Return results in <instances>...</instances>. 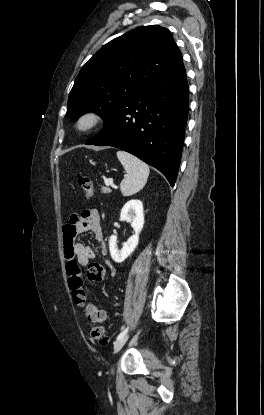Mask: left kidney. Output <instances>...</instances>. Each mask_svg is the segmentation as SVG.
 Returning a JSON list of instances; mask_svg holds the SVG:
<instances>
[{"instance_id": "obj_1", "label": "left kidney", "mask_w": 264, "mask_h": 415, "mask_svg": "<svg viewBox=\"0 0 264 415\" xmlns=\"http://www.w3.org/2000/svg\"><path fill=\"white\" fill-rule=\"evenodd\" d=\"M120 218L131 224L134 234L123 243L122 248L118 249L117 236L112 235L109 239V251L112 259L117 262H123L135 250L139 242V234L144 225V210L140 200H129L122 208Z\"/></svg>"}]
</instances>
